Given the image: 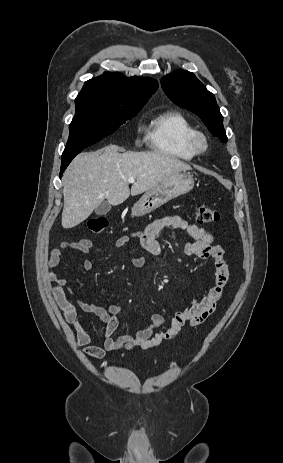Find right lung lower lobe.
<instances>
[{
  "label": "right lung lower lobe",
  "instance_id": "obj_1",
  "mask_svg": "<svg viewBox=\"0 0 283 463\" xmlns=\"http://www.w3.org/2000/svg\"><path fill=\"white\" fill-rule=\"evenodd\" d=\"M82 150H83V149H82ZM82 150H79V151H76V152H72V153H69V154H63V155H62L61 170H60V178H61L62 173L64 172V170L67 168V166L69 165V163L72 161V159H73L78 153H80Z\"/></svg>",
  "mask_w": 283,
  "mask_h": 463
}]
</instances>
